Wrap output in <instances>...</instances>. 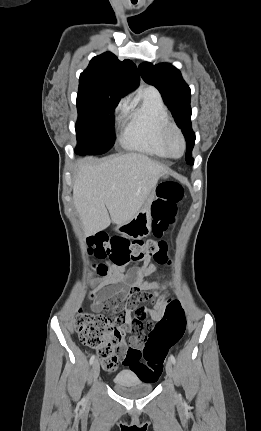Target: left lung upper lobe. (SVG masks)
<instances>
[{"instance_id":"left-lung-upper-lobe-1","label":"left lung upper lobe","mask_w":261,"mask_h":431,"mask_svg":"<svg viewBox=\"0 0 261 431\" xmlns=\"http://www.w3.org/2000/svg\"><path fill=\"white\" fill-rule=\"evenodd\" d=\"M143 80L155 86L161 93L165 104L173 113L175 122L182 129L187 141L186 162L193 164L191 152L195 143V134L191 127V91L178 69L171 64L152 65L144 62L139 66Z\"/></svg>"}]
</instances>
